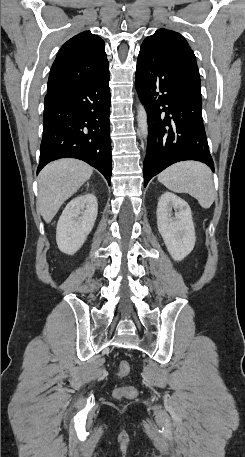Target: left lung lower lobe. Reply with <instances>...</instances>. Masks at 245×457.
Wrapping results in <instances>:
<instances>
[{
  "mask_svg": "<svg viewBox=\"0 0 245 457\" xmlns=\"http://www.w3.org/2000/svg\"><path fill=\"white\" fill-rule=\"evenodd\" d=\"M135 87L148 115L144 187L168 166L196 160L214 170L202 118L201 89L171 49L140 51Z\"/></svg>",
  "mask_w": 245,
  "mask_h": 457,
  "instance_id": "left-lung-lower-lobe-1",
  "label": "left lung lower lobe"
}]
</instances>
